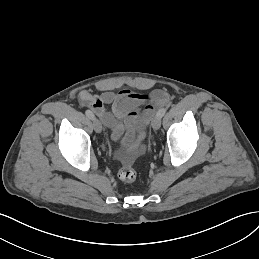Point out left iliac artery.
I'll return each instance as SVG.
<instances>
[{
    "mask_svg": "<svg viewBox=\"0 0 259 259\" xmlns=\"http://www.w3.org/2000/svg\"><path fill=\"white\" fill-rule=\"evenodd\" d=\"M165 113H166V108H161V109L157 112L156 116H159L160 118H162V117L165 115Z\"/></svg>",
    "mask_w": 259,
    "mask_h": 259,
    "instance_id": "obj_1",
    "label": "left iliac artery"
}]
</instances>
